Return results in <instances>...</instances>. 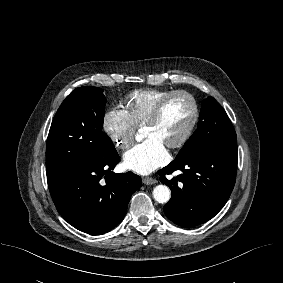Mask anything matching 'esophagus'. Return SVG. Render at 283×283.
<instances>
[{
    "instance_id": "esophagus-1",
    "label": "esophagus",
    "mask_w": 283,
    "mask_h": 283,
    "mask_svg": "<svg viewBox=\"0 0 283 283\" xmlns=\"http://www.w3.org/2000/svg\"><path fill=\"white\" fill-rule=\"evenodd\" d=\"M142 181L145 185H152V184H155L157 182L156 179H154L152 177H144L142 179Z\"/></svg>"
}]
</instances>
